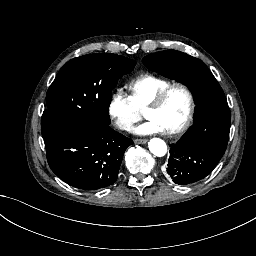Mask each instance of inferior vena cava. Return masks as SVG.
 Here are the masks:
<instances>
[{"mask_svg": "<svg viewBox=\"0 0 256 256\" xmlns=\"http://www.w3.org/2000/svg\"><path fill=\"white\" fill-rule=\"evenodd\" d=\"M118 127L120 128V129H129L131 126H132V124L131 123H127V122H125V121H118Z\"/></svg>", "mask_w": 256, "mask_h": 256, "instance_id": "obj_1", "label": "inferior vena cava"}]
</instances>
